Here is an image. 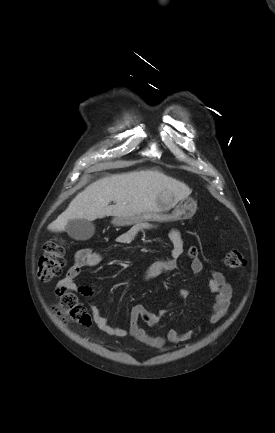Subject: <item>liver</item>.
Returning a JSON list of instances; mask_svg holds the SVG:
<instances>
[{"mask_svg": "<svg viewBox=\"0 0 275 433\" xmlns=\"http://www.w3.org/2000/svg\"><path fill=\"white\" fill-rule=\"evenodd\" d=\"M192 190L183 182L157 170H140L101 178L88 185L69 204L48 230L62 232L69 220L94 221L105 216L128 217L156 211L159 198L173 195L177 201ZM113 201L115 205L109 206Z\"/></svg>", "mask_w": 275, "mask_h": 433, "instance_id": "1", "label": "liver"}]
</instances>
